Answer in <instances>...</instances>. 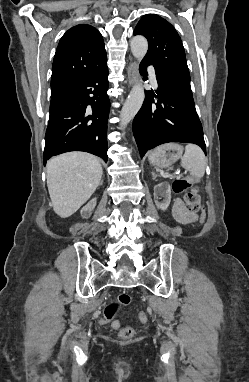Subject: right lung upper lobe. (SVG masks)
<instances>
[{"instance_id":"right-lung-upper-lobe-1","label":"right lung upper lobe","mask_w":249,"mask_h":382,"mask_svg":"<svg viewBox=\"0 0 249 382\" xmlns=\"http://www.w3.org/2000/svg\"><path fill=\"white\" fill-rule=\"evenodd\" d=\"M105 57V45L97 29L87 24L69 29L54 56L51 101L82 81Z\"/></svg>"}]
</instances>
